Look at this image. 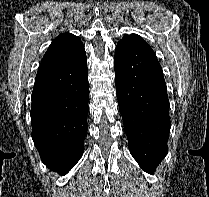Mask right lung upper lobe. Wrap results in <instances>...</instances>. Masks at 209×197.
<instances>
[{
	"mask_svg": "<svg viewBox=\"0 0 209 197\" xmlns=\"http://www.w3.org/2000/svg\"><path fill=\"white\" fill-rule=\"evenodd\" d=\"M82 51L79 37L65 32L56 37L47 49L40 64L36 79L51 74L74 60Z\"/></svg>",
	"mask_w": 209,
	"mask_h": 197,
	"instance_id": "right-lung-upper-lobe-1",
	"label": "right lung upper lobe"
}]
</instances>
